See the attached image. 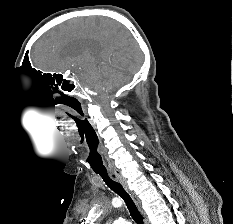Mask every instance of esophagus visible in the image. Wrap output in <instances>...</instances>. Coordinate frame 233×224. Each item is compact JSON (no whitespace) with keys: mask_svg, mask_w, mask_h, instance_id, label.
Masks as SVG:
<instances>
[{"mask_svg":"<svg viewBox=\"0 0 233 224\" xmlns=\"http://www.w3.org/2000/svg\"><path fill=\"white\" fill-rule=\"evenodd\" d=\"M110 176H111V178L113 180L120 183L124 187V189L127 191V193H129V195L131 196L132 200L134 201L135 205L137 206V208L139 209V211H140V213H141V215L143 217L144 224H150L146 213L141 208L140 200L138 198H136V196L134 195L133 192L130 191V189H129L127 183H126V180L122 176L121 172L119 170L110 171Z\"/></svg>","mask_w":233,"mask_h":224,"instance_id":"34e87169","label":"esophagus"}]
</instances>
